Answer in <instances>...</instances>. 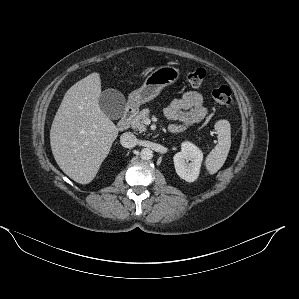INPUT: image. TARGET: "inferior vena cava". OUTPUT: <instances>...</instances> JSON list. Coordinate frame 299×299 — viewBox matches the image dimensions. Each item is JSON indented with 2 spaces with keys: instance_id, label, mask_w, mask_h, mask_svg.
I'll return each instance as SVG.
<instances>
[{
  "instance_id": "602c4592",
  "label": "inferior vena cava",
  "mask_w": 299,
  "mask_h": 299,
  "mask_svg": "<svg viewBox=\"0 0 299 299\" xmlns=\"http://www.w3.org/2000/svg\"><path fill=\"white\" fill-rule=\"evenodd\" d=\"M137 137L131 132H125L120 137V143L125 148H132L137 144Z\"/></svg>"
}]
</instances>
